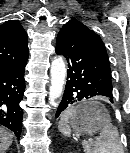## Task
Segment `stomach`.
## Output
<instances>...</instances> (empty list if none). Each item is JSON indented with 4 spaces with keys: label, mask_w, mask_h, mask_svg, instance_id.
<instances>
[{
    "label": "stomach",
    "mask_w": 130,
    "mask_h": 153,
    "mask_svg": "<svg viewBox=\"0 0 130 153\" xmlns=\"http://www.w3.org/2000/svg\"><path fill=\"white\" fill-rule=\"evenodd\" d=\"M110 122V116L104 106L95 101H84L76 107L75 114L69 120V126L77 133H94Z\"/></svg>",
    "instance_id": "obj_1"
}]
</instances>
